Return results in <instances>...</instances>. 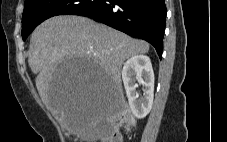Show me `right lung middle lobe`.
<instances>
[{
    "instance_id": "dd1d6c3e",
    "label": "right lung middle lobe",
    "mask_w": 227,
    "mask_h": 142,
    "mask_svg": "<svg viewBox=\"0 0 227 142\" xmlns=\"http://www.w3.org/2000/svg\"><path fill=\"white\" fill-rule=\"evenodd\" d=\"M103 2L104 0H28L22 16V38L25 40L36 26L50 17L77 15Z\"/></svg>"
}]
</instances>
